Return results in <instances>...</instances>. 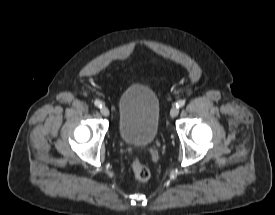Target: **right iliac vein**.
I'll use <instances>...</instances> for the list:
<instances>
[{
	"instance_id": "1",
	"label": "right iliac vein",
	"mask_w": 275,
	"mask_h": 215,
	"mask_svg": "<svg viewBox=\"0 0 275 215\" xmlns=\"http://www.w3.org/2000/svg\"><path fill=\"white\" fill-rule=\"evenodd\" d=\"M100 112L105 117H108L110 114L109 109L106 106L101 107Z\"/></svg>"
}]
</instances>
